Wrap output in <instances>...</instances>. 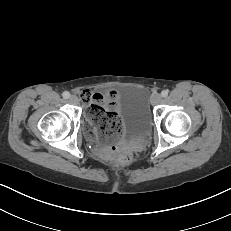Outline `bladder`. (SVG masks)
<instances>
[{"mask_svg": "<svg viewBox=\"0 0 231 231\" xmlns=\"http://www.w3.org/2000/svg\"><path fill=\"white\" fill-rule=\"evenodd\" d=\"M107 106L115 107L122 115L120 138L131 141L147 136L152 126L150 95L141 86L129 85L106 98Z\"/></svg>", "mask_w": 231, "mask_h": 231, "instance_id": "31cf9c89", "label": "bladder"}]
</instances>
